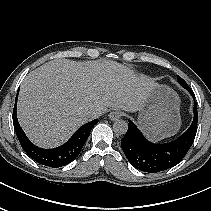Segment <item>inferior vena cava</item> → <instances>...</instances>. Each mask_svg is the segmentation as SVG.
<instances>
[{
	"mask_svg": "<svg viewBox=\"0 0 211 211\" xmlns=\"http://www.w3.org/2000/svg\"><path fill=\"white\" fill-rule=\"evenodd\" d=\"M99 116H101V112L100 111H91V112H89V117L91 119L98 118Z\"/></svg>",
	"mask_w": 211,
	"mask_h": 211,
	"instance_id": "inferior-vena-cava-1",
	"label": "inferior vena cava"
}]
</instances>
